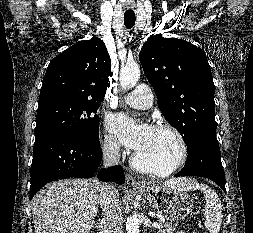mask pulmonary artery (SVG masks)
<instances>
[{"instance_id":"1","label":"pulmonary artery","mask_w":253,"mask_h":233,"mask_svg":"<svg viewBox=\"0 0 253 233\" xmlns=\"http://www.w3.org/2000/svg\"><path fill=\"white\" fill-rule=\"evenodd\" d=\"M127 105L136 109H148L153 104V93L147 85H140L122 97Z\"/></svg>"}]
</instances>
